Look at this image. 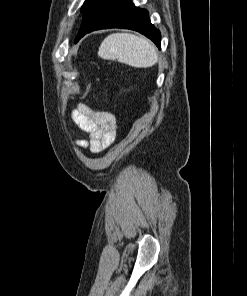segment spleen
Listing matches in <instances>:
<instances>
[{"mask_svg": "<svg viewBox=\"0 0 247 296\" xmlns=\"http://www.w3.org/2000/svg\"><path fill=\"white\" fill-rule=\"evenodd\" d=\"M98 55L136 68L151 67L158 61L154 44L144 37L130 33L108 35L101 43Z\"/></svg>", "mask_w": 247, "mask_h": 296, "instance_id": "3e777b00", "label": "spleen"}]
</instances>
